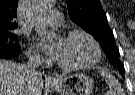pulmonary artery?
Segmentation results:
<instances>
[{
    "mask_svg": "<svg viewBox=\"0 0 135 95\" xmlns=\"http://www.w3.org/2000/svg\"><path fill=\"white\" fill-rule=\"evenodd\" d=\"M45 20L47 21L48 24L52 26H59L63 22V15L58 10H51L45 17Z\"/></svg>",
    "mask_w": 135,
    "mask_h": 95,
    "instance_id": "pulmonary-artery-1",
    "label": "pulmonary artery"
}]
</instances>
